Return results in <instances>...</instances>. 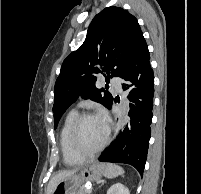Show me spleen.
Wrapping results in <instances>:
<instances>
[{"label": "spleen", "mask_w": 201, "mask_h": 194, "mask_svg": "<svg viewBox=\"0 0 201 194\" xmlns=\"http://www.w3.org/2000/svg\"><path fill=\"white\" fill-rule=\"evenodd\" d=\"M123 173H124L123 168L118 165L115 164L106 165L105 176L110 179L116 178L119 175H122Z\"/></svg>", "instance_id": "spleen-1"}]
</instances>
